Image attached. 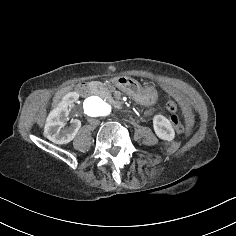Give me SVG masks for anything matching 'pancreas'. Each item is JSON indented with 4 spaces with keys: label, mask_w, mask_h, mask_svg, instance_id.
I'll return each instance as SVG.
<instances>
[{
    "label": "pancreas",
    "mask_w": 236,
    "mask_h": 236,
    "mask_svg": "<svg viewBox=\"0 0 236 236\" xmlns=\"http://www.w3.org/2000/svg\"><path fill=\"white\" fill-rule=\"evenodd\" d=\"M98 85V90L96 94L104 99H111V90L108 89L102 82L96 81L95 82Z\"/></svg>",
    "instance_id": "1"
}]
</instances>
